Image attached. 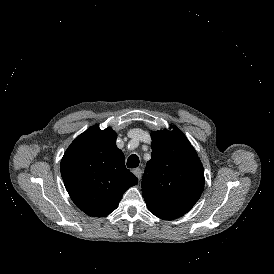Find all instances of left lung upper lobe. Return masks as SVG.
<instances>
[{"label": "left lung upper lobe", "mask_w": 274, "mask_h": 274, "mask_svg": "<svg viewBox=\"0 0 274 274\" xmlns=\"http://www.w3.org/2000/svg\"><path fill=\"white\" fill-rule=\"evenodd\" d=\"M173 128L152 133L151 160L141 187L146 202L185 214L203 192L204 170L188 139Z\"/></svg>", "instance_id": "1"}]
</instances>
